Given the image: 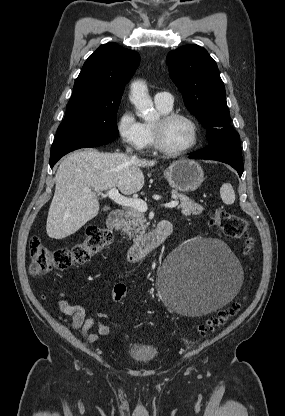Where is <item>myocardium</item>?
<instances>
[{"mask_svg":"<svg viewBox=\"0 0 285 416\" xmlns=\"http://www.w3.org/2000/svg\"><path fill=\"white\" fill-rule=\"evenodd\" d=\"M175 119H183L188 122L191 126L193 134L191 144L188 147L178 151L167 148L162 141V128ZM152 133L154 148L161 154L168 157H179L191 153L197 147L200 137L198 125L191 116L173 111L162 113L158 122L152 125Z\"/></svg>","mask_w":285,"mask_h":416,"instance_id":"f54148a6","label":"myocardium"}]
</instances>
